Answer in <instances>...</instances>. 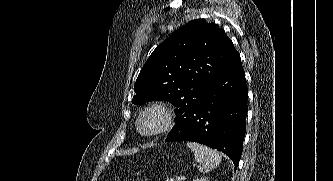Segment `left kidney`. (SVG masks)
Instances as JSON below:
<instances>
[{
  "label": "left kidney",
  "instance_id": "obj_1",
  "mask_svg": "<svg viewBox=\"0 0 333 181\" xmlns=\"http://www.w3.org/2000/svg\"><path fill=\"white\" fill-rule=\"evenodd\" d=\"M193 181H209V180L205 177H201V178H196Z\"/></svg>",
  "mask_w": 333,
  "mask_h": 181
}]
</instances>
